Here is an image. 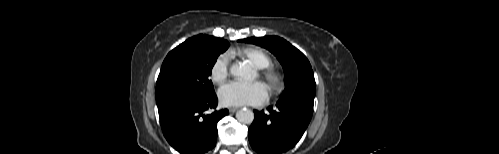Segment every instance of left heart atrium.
<instances>
[{"instance_id":"1","label":"left heart atrium","mask_w":499,"mask_h":154,"mask_svg":"<svg viewBox=\"0 0 499 154\" xmlns=\"http://www.w3.org/2000/svg\"><path fill=\"white\" fill-rule=\"evenodd\" d=\"M218 97L224 106L261 105L268 93L261 82H230L219 89Z\"/></svg>"}]
</instances>
